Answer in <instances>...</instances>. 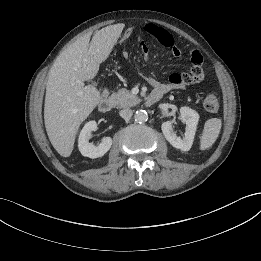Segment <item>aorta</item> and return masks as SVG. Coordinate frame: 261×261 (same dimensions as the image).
<instances>
[{
	"label": "aorta",
	"instance_id": "762f6f07",
	"mask_svg": "<svg viewBox=\"0 0 261 261\" xmlns=\"http://www.w3.org/2000/svg\"><path fill=\"white\" fill-rule=\"evenodd\" d=\"M134 119L138 123H144L148 120V114L145 110H138L134 115Z\"/></svg>",
	"mask_w": 261,
	"mask_h": 261
}]
</instances>
